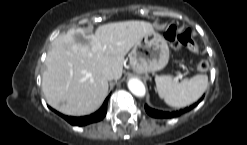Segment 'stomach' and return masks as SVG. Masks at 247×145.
Instances as JSON below:
<instances>
[{"label":"stomach","instance_id":"1","mask_svg":"<svg viewBox=\"0 0 247 145\" xmlns=\"http://www.w3.org/2000/svg\"><path fill=\"white\" fill-rule=\"evenodd\" d=\"M132 69L139 74L152 73L163 69L169 61V47L158 33L143 36L129 54Z\"/></svg>","mask_w":247,"mask_h":145}]
</instances>
